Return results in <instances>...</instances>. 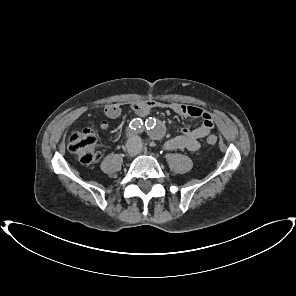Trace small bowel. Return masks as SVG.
I'll use <instances>...</instances> for the list:
<instances>
[{
    "mask_svg": "<svg viewBox=\"0 0 296 296\" xmlns=\"http://www.w3.org/2000/svg\"><path fill=\"white\" fill-rule=\"evenodd\" d=\"M155 108H168L176 114L184 117H200L202 124L194 129L183 128L180 135L170 138L165 142L167 150H189L197 151L200 149V140L211 133L214 128L212 115L199 107L186 105L176 102L162 103L154 100L137 101L132 104V109L140 117L147 116ZM104 113L109 119H117L121 116V108L117 104H108L104 108ZM103 130H108L110 124L103 120L99 124Z\"/></svg>",
    "mask_w": 296,
    "mask_h": 296,
    "instance_id": "obj_1",
    "label": "small bowel"
}]
</instances>
